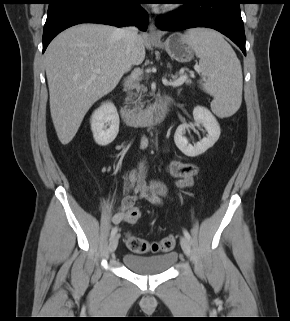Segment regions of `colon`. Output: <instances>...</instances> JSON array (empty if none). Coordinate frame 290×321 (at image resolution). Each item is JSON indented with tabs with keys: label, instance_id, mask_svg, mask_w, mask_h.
I'll return each instance as SVG.
<instances>
[{
	"label": "colon",
	"instance_id": "5ec220e1",
	"mask_svg": "<svg viewBox=\"0 0 290 321\" xmlns=\"http://www.w3.org/2000/svg\"><path fill=\"white\" fill-rule=\"evenodd\" d=\"M141 216V211L138 208L132 209L129 212V221L133 222ZM175 238L166 236L157 241H148L135 235H127V247L136 253H166L173 250L175 247Z\"/></svg>",
	"mask_w": 290,
	"mask_h": 321
}]
</instances>
